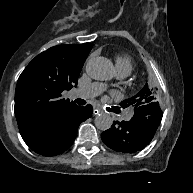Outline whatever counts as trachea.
I'll list each match as a JSON object with an SVG mask.
<instances>
[{"mask_svg": "<svg viewBox=\"0 0 193 193\" xmlns=\"http://www.w3.org/2000/svg\"><path fill=\"white\" fill-rule=\"evenodd\" d=\"M75 102L78 105H85L86 104V101L84 99H81V98L76 99Z\"/></svg>", "mask_w": 193, "mask_h": 193, "instance_id": "obj_1", "label": "trachea"}]
</instances>
